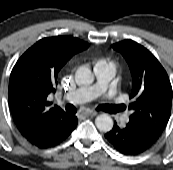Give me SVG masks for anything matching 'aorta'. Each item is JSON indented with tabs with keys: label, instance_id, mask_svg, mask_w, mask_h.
Listing matches in <instances>:
<instances>
[{
	"label": "aorta",
	"instance_id": "aorta-1",
	"mask_svg": "<svg viewBox=\"0 0 173 170\" xmlns=\"http://www.w3.org/2000/svg\"><path fill=\"white\" fill-rule=\"evenodd\" d=\"M76 77L81 84L90 85L94 81V75L87 67H80ZM113 120L108 114H100L95 119L96 127L102 132H109L113 128Z\"/></svg>",
	"mask_w": 173,
	"mask_h": 170
}]
</instances>
